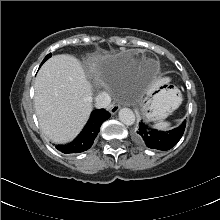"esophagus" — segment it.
Wrapping results in <instances>:
<instances>
[{
    "instance_id": "34e87169",
    "label": "esophagus",
    "mask_w": 220,
    "mask_h": 220,
    "mask_svg": "<svg viewBox=\"0 0 220 220\" xmlns=\"http://www.w3.org/2000/svg\"><path fill=\"white\" fill-rule=\"evenodd\" d=\"M119 109H120L119 104H111L109 107V111L111 114H116Z\"/></svg>"
}]
</instances>
